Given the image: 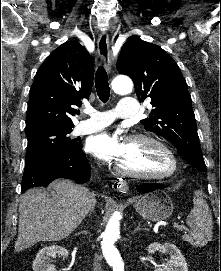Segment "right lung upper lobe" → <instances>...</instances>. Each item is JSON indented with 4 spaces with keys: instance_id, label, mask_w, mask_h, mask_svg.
Listing matches in <instances>:
<instances>
[{
    "instance_id": "cb5924a9",
    "label": "right lung upper lobe",
    "mask_w": 221,
    "mask_h": 271,
    "mask_svg": "<svg viewBox=\"0 0 221 271\" xmlns=\"http://www.w3.org/2000/svg\"><path fill=\"white\" fill-rule=\"evenodd\" d=\"M93 59L76 41L55 49L40 66L31 86L26 131L46 125L74 126V108L88 98L93 83Z\"/></svg>"
}]
</instances>
